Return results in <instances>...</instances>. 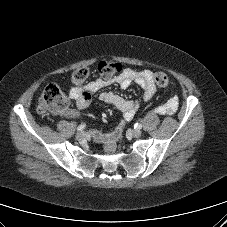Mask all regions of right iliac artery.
Listing matches in <instances>:
<instances>
[{
    "label": "right iliac artery",
    "mask_w": 227,
    "mask_h": 227,
    "mask_svg": "<svg viewBox=\"0 0 227 227\" xmlns=\"http://www.w3.org/2000/svg\"><path fill=\"white\" fill-rule=\"evenodd\" d=\"M85 126H86L85 124H81L77 127V130L82 131L85 128Z\"/></svg>",
    "instance_id": "1"
}]
</instances>
